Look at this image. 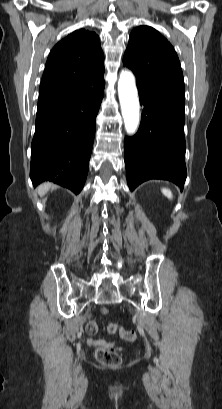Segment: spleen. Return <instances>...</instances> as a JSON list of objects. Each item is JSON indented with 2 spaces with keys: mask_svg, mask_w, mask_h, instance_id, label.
<instances>
[{
  "mask_svg": "<svg viewBox=\"0 0 222 409\" xmlns=\"http://www.w3.org/2000/svg\"><path fill=\"white\" fill-rule=\"evenodd\" d=\"M162 193L170 200L173 198L172 192L167 188H162Z\"/></svg>",
  "mask_w": 222,
  "mask_h": 409,
  "instance_id": "3e777b00",
  "label": "spleen"
}]
</instances>
